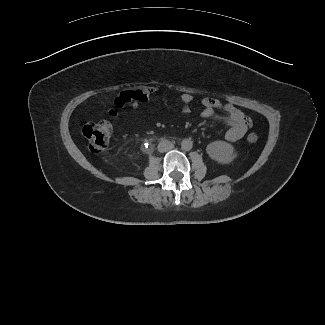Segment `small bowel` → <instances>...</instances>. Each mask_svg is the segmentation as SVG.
Instances as JSON below:
<instances>
[{"instance_id": "small-bowel-1", "label": "small bowel", "mask_w": 325, "mask_h": 325, "mask_svg": "<svg viewBox=\"0 0 325 325\" xmlns=\"http://www.w3.org/2000/svg\"><path fill=\"white\" fill-rule=\"evenodd\" d=\"M157 92L155 87H142L131 91H126L115 99V106L119 109L129 110L132 107L139 109L142 104L147 102L150 97ZM181 99V113L187 115L191 112L190 105L193 96L183 93ZM201 116L207 120H219L229 126L225 133V140L236 142L240 140L248 128L251 126V120L238 108L232 104H222L218 99L205 97L201 100ZM217 110H222L225 115L220 117L216 114ZM109 116L116 118L119 113L116 109L108 111Z\"/></svg>"}]
</instances>
